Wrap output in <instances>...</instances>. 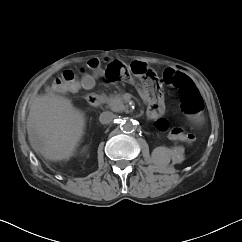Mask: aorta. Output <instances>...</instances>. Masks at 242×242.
<instances>
[{"label":"aorta","instance_id":"762f6f07","mask_svg":"<svg viewBox=\"0 0 242 242\" xmlns=\"http://www.w3.org/2000/svg\"><path fill=\"white\" fill-rule=\"evenodd\" d=\"M121 129L125 132H132L136 129V122L131 119L123 120L121 122Z\"/></svg>","mask_w":242,"mask_h":242}]
</instances>
